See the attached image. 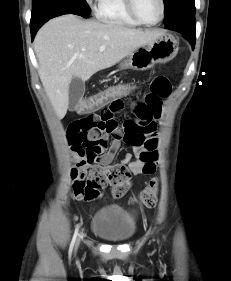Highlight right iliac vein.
Here are the masks:
<instances>
[{
    "mask_svg": "<svg viewBox=\"0 0 231 281\" xmlns=\"http://www.w3.org/2000/svg\"><path fill=\"white\" fill-rule=\"evenodd\" d=\"M80 239H81V236H80V237H79V239H78V243H77V245L79 244Z\"/></svg>",
    "mask_w": 231,
    "mask_h": 281,
    "instance_id": "63e3f726",
    "label": "right iliac vein"
}]
</instances>
